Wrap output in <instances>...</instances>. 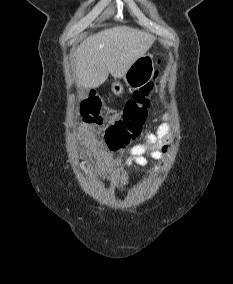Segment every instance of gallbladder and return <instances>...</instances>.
I'll return each instance as SVG.
<instances>
[{
	"mask_svg": "<svg viewBox=\"0 0 233 284\" xmlns=\"http://www.w3.org/2000/svg\"><path fill=\"white\" fill-rule=\"evenodd\" d=\"M85 96H86V92H82L80 95L81 98H84Z\"/></svg>",
	"mask_w": 233,
	"mask_h": 284,
	"instance_id": "gallbladder-1",
	"label": "gallbladder"
}]
</instances>
